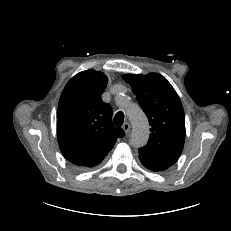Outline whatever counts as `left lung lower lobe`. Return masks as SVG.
<instances>
[{"label": "left lung lower lobe", "instance_id": "1", "mask_svg": "<svg viewBox=\"0 0 231 231\" xmlns=\"http://www.w3.org/2000/svg\"><path fill=\"white\" fill-rule=\"evenodd\" d=\"M141 163L148 169L152 170V171H164L166 170L168 167L167 166H162V165H157V164H150L146 161H144L143 159H141L139 157Z\"/></svg>", "mask_w": 231, "mask_h": 231}]
</instances>
